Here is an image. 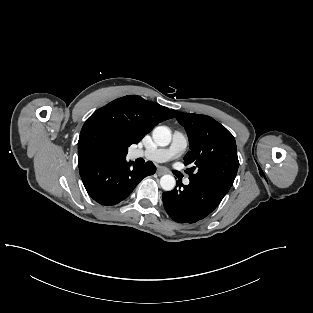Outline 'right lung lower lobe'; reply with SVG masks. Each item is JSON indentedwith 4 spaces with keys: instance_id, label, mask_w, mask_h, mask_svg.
<instances>
[{
    "instance_id": "98d812e1",
    "label": "right lung lower lobe",
    "mask_w": 313,
    "mask_h": 313,
    "mask_svg": "<svg viewBox=\"0 0 313 313\" xmlns=\"http://www.w3.org/2000/svg\"><path fill=\"white\" fill-rule=\"evenodd\" d=\"M152 162L138 165L134 162H94L79 167V173L88 194L98 203L110 206L126 199L146 176L154 174Z\"/></svg>"
}]
</instances>
